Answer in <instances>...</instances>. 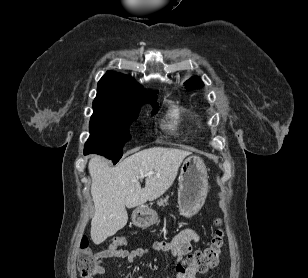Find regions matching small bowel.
Listing matches in <instances>:
<instances>
[{
    "label": "small bowel",
    "instance_id": "obj_1",
    "mask_svg": "<svg viewBox=\"0 0 308 278\" xmlns=\"http://www.w3.org/2000/svg\"><path fill=\"white\" fill-rule=\"evenodd\" d=\"M200 239L199 234L191 229L186 228L177 233L173 239L169 242L160 241L153 244V251L156 252H166L169 253L173 258L178 262L176 264L175 270L176 278H198V272L190 267H183L179 261L183 256H187L192 253L193 243L198 242ZM151 250L147 248H136L132 250L124 249L119 247V250H105L100 253L102 260L104 259H123L129 263L135 262L137 259L149 256ZM104 271L103 267L101 268L99 275ZM138 278H144L140 276Z\"/></svg>",
    "mask_w": 308,
    "mask_h": 278
}]
</instances>
